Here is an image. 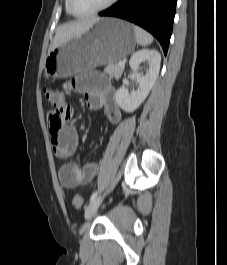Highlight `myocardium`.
I'll return each instance as SVG.
<instances>
[{
    "instance_id": "myocardium-1",
    "label": "myocardium",
    "mask_w": 227,
    "mask_h": 265,
    "mask_svg": "<svg viewBox=\"0 0 227 265\" xmlns=\"http://www.w3.org/2000/svg\"><path fill=\"white\" fill-rule=\"evenodd\" d=\"M117 2V0H107L103 5L99 6L98 8L91 10L89 12H85V13H80L77 12L74 7H73V0H67V7L69 12L76 16V17H87V16H91V15H95L98 14L108 8H110L112 5H114Z\"/></svg>"
}]
</instances>
